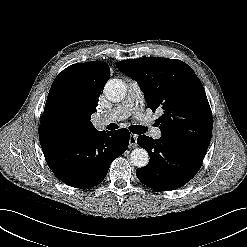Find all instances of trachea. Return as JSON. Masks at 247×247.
Listing matches in <instances>:
<instances>
[{"instance_id": "obj_1", "label": "trachea", "mask_w": 247, "mask_h": 247, "mask_svg": "<svg viewBox=\"0 0 247 247\" xmlns=\"http://www.w3.org/2000/svg\"><path fill=\"white\" fill-rule=\"evenodd\" d=\"M106 128L108 130H114L118 128V125L115 123H110ZM129 130L134 134H143L147 129L141 125H132L129 127Z\"/></svg>"}]
</instances>
